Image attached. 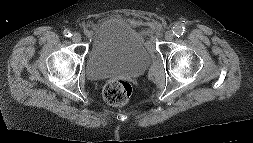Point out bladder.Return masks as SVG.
<instances>
[{
  "instance_id": "1",
  "label": "bladder",
  "mask_w": 253,
  "mask_h": 143,
  "mask_svg": "<svg viewBox=\"0 0 253 143\" xmlns=\"http://www.w3.org/2000/svg\"><path fill=\"white\" fill-rule=\"evenodd\" d=\"M153 60L146 36L119 16H108L94 25L86 59L90 79L100 80L114 75L137 77Z\"/></svg>"
}]
</instances>
